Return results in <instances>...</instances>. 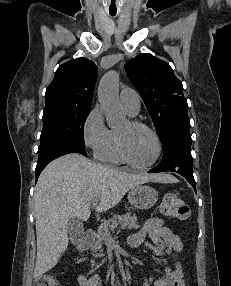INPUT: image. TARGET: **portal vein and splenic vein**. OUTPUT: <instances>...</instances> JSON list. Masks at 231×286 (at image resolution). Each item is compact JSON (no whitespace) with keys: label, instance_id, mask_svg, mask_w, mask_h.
Instances as JSON below:
<instances>
[{"label":"portal vein and splenic vein","instance_id":"1","mask_svg":"<svg viewBox=\"0 0 231 286\" xmlns=\"http://www.w3.org/2000/svg\"><path fill=\"white\" fill-rule=\"evenodd\" d=\"M98 200H99V196L94 197L92 201L93 205H96L98 203Z\"/></svg>","mask_w":231,"mask_h":286}]
</instances>
